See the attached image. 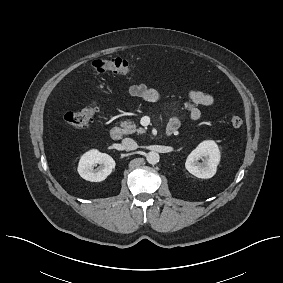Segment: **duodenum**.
<instances>
[{"label":"duodenum","mask_w":283,"mask_h":283,"mask_svg":"<svg viewBox=\"0 0 283 283\" xmlns=\"http://www.w3.org/2000/svg\"><path fill=\"white\" fill-rule=\"evenodd\" d=\"M176 131L175 127L172 125H168L166 128V136L170 137ZM109 135L112 139L118 140L122 136V131L118 126H113L109 130Z\"/></svg>","instance_id":"obj_1"}]
</instances>
